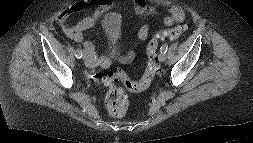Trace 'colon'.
I'll use <instances>...</instances> for the list:
<instances>
[{
	"mask_svg": "<svg viewBox=\"0 0 253 143\" xmlns=\"http://www.w3.org/2000/svg\"><path fill=\"white\" fill-rule=\"evenodd\" d=\"M185 29V27H174L162 30L149 41L146 48L147 64L140 80H130L121 69L108 71L103 76L107 84L106 106L112 116L122 117L126 114L128 109V92H141L151 86L159 70L157 51L160 41L165 38L176 40L182 36Z\"/></svg>",
	"mask_w": 253,
	"mask_h": 143,
	"instance_id": "colon-1",
	"label": "colon"
}]
</instances>
